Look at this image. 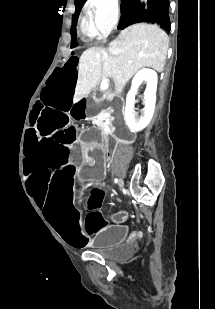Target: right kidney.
I'll list each match as a JSON object with an SVG mask.
<instances>
[{"label":"right kidney","mask_w":215,"mask_h":309,"mask_svg":"<svg viewBox=\"0 0 215 309\" xmlns=\"http://www.w3.org/2000/svg\"><path fill=\"white\" fill-rule=\"evenodd\" d=\"M143 80H146L147 86L144 92V116H141L139 120L135 118V112L133 110L135 94H137V88ZM156 90H157V72L152 68H142L136 72L133 80L131 90L127 94L126 106L123 112L125 120L130 126L131 130H141L149 124L156 102Z\"/></svg>","instance_id":"right-kidney-1"}]
</instances>
